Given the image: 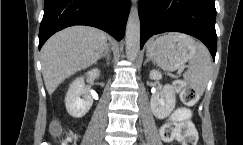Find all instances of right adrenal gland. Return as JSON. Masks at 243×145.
I'll return each mask as SVG.
<instances>
[{"label":"right adrenal gland","instance_id":"1","mask_svg":"<svg viewBox=\"0 0 243 145\" xmlns=\"http://www.w3.org/2000/svg\"><path fill=\"white\" fill-rule=\"evenodd\" d=\"M110 52H111V48L110 45L107 44L105 52L101 55L100 59L105 58L107 61V65H109V61H110Z\"/></svg>","mask_w":243,"mask_h":145}]
</instances>
